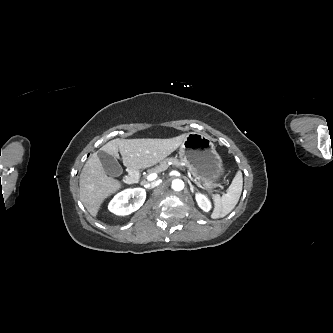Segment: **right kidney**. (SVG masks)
<instances>
[{"mask_svg": "<svg viewBox=\"0 0 333 333\" xmlns=\"http://www.w3.org/2000/svg\"><path fill=\"white\" fill-rule=\"evenodd\" d=\"M133 198V203L127 205ZM146 199V191L143 188L125 189L114 196L109 203V210L116 215H129L138 210Z\"/></svg>", "mask_w": 333, "mask_h": 333, "instance_id": "ca27d5eb", "label": "right kidney"}]
</instances>
